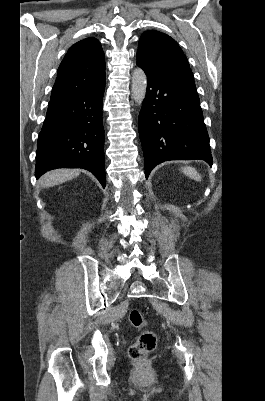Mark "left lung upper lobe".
<instances>
[{"instance_id": "obj_1", "label": "left lung upper lobe", "mask_w": 265, "mask_h": 401, "mask_svg": "<svg viewBox=\"0 0 265 401\" xmlns=\"http://www.w3.org/2000/svg\"><path fill=\"white\" fill-rule=\"evenodd\" d=\"M137 64L164 78L194 81L188 60L177 42L159 31L149 30L142 34L139 40Z\"/></svg>"}]
</instances>
